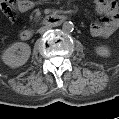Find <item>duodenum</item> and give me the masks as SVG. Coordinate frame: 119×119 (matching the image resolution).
Returning a JSON list of instances; mask_svg holds the SVG:
<instances>
[{
  "instance_id": "410a0bca",
  "label": "duodenum",
  "mask_w": 119,
  "mask_h": 119,
  "mask_svg": "<svg viewBox=\"0 0 119 119\" xmlns=\"http://www.w3.org/2000/svg\"><path fill=\"white\" fill-rule=\"evenodd\" d=\"M67 19L68 17L66 15H50L42 20V25L46 27H57L65 22ZM19 35L22 40H29L33 37L34 30L24 29L20 32Z\"/></svg>"
}]
</instances>
